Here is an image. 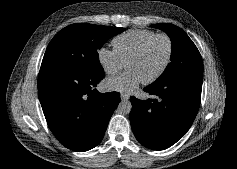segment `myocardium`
I'll use <instances>...</instances> for the list:
<instances>
[{
    "mask_svg": "<svg viewBox=\"0 0 237 169\" xmlns=\"http://www.w3.org/2000/svg\"><path fill=\"white\" fill-rule=\"evenodd\" d=\"M159 37L164 38L167 41V43H168L167 56H166V59H165L163 65L161 66V68L159 69L158 72H156L150 78L141 81L145 85H148V84H151V83H154L155 81H157L165 73V71L167 70V68H168V66H169V64L171 62L172 55H173V42H172V39L170 38V36L165 34V33H157V34H154V35L150 36L149 38H147L140 45V47L133 54H131L128 57V59L125 62V66L127 67L129 62L139 58L143 54V52L145 51V49L147 48V46L149 45V43L151 41H153L154 39L159 38Z\"/></svg>",
    "mask_w": 237,
    "mask_h": 169,
    "instance_id": "obj_1",
    "label": "myocardium"
}]
</instances>
